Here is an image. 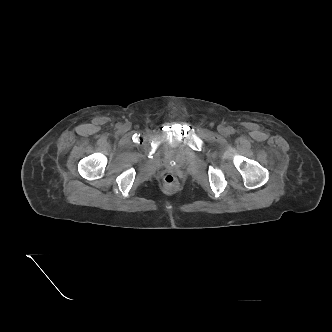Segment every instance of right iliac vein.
I'll return each instance as SVG.
<instances>
[{
  "mask_svg": "<svg viewBox=\"0 0 332 332\" xmlns=\"http://www.w3.org/2000/svg\"><path fill=\"white\" fill-rule=\"evenodd\" d=\"M129 128H130L129 124H125V125L123 126V129H124V130H128Z\"/></svg>",
  "mask_w": 332,
  "mask_h": 332,
  "instance_id": "obj_1",
  "label": "right iliac vein"
}]
</instances>
